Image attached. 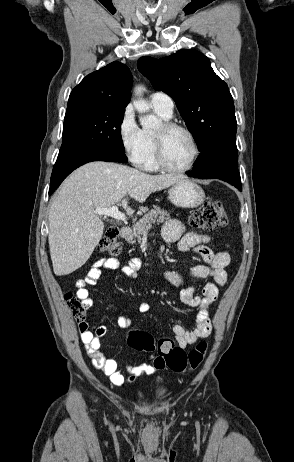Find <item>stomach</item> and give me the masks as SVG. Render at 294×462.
Instances as JSON below:
<instances>
[{
	"instance_id": "stomach-1",
	"label": "stomach",
	"mask_w": 294,
	"mask_h": 462,
	"mask_svg": "<svg viewBox=\"0 0 294 462\" xmlns=\"http://www.w3.org/2000/svg\"><path fill=\"white\" fill-rule=\"evenodd\" d=\"M168 198L175 206L195 208L204 202L205 193L199 185L185 178L171 186Z\"/></svg>"
}]
</instances>
